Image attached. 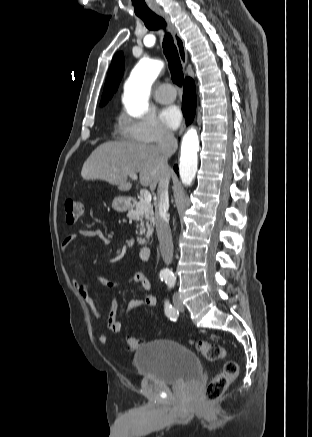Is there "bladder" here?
<instances>
[{"mask_svg":"<svg viewBox=\"0 0 312 437\" xmlns=\"http://www.w3.org/2000/svg\"><path fill=\"white\" fill-rule=\"evenodd\" d=\"M133 362L140 376L168 385L180 384L202 372L192 350L168 339L149 341L135 352Z\"/></svg>","mask_w":312,"mask_h":437,"instance_id":"31cf9c89","label":"bladder"}]
</instances>
